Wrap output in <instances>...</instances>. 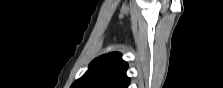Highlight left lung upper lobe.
Masks as SVG:
<instances>
[{
    "label": "left lung upper lobe",
    "instance_id": "5c2ea615",
    "mask_svg": "<svg viewBox=\"0 0 223 88\" xmlns=\"http://www.w3.org/2000/svg\"><path fill=\"white\" fill-rule=\"evenodd\" d=\"M127 69L128 64L120 53L100 56L91 62L88 71L71 88H128Z\"/></svg>",
    "mask_w": 223,
    "mask_h": 88
}]
</instances>
